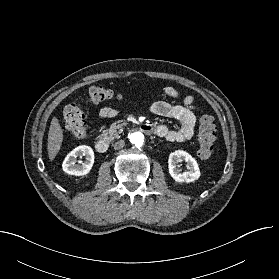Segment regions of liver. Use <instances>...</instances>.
<instances>
[{
  "label": "liver",
  "mask_w": 279,
  "mask_h": 279,
  "mask_svg": "<svg viewBox=\"0 0 279 279\" xmlns=\"http://www.w3.org/2000/svg\"><path fill=\"white\" fill-rule=\"evenodd\" d=\"M63 141V130L56 117L51 120L49 133H48V157L52 161L58 154Z\"/></svg>",
  "instance_id": "6515ba94"
}]
</instances>
